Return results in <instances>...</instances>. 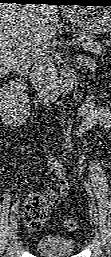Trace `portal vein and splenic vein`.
<instances>
[{
	"mask_svg": "<svg viewBox=\"0 0 111 257\" xmlns=\"http://www.w3.org/2000/svg\"><path fill=\"white\" fill-rule=\"evenodd\" d=\"M80 41H81L80 39L77 40L78 43H80Z\"/></svg>",
	"mask_w": 111,
	"mask_h": 257,
	"instance_id": "18ae733b",
	"label": "portal vein and splenic vein"
}]
</instances>
